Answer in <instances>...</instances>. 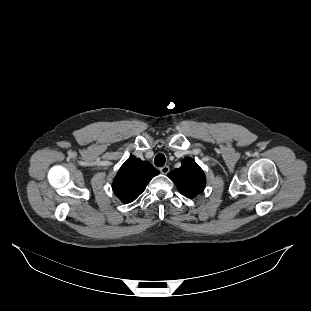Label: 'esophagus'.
I'll return each mask as SVG.
<instances>
[{
    "label": "esophagus",
    "instance_id": "1",
    "mask_svg": "<svg viewBox=\"0 0 311 311\" xmlns=\"http://www.w3.org/2000/svg\"><path fill=\"white\" fill-rule=\"evenodd\" d=\"M169 170H170V168L167 165L160 168V171L162 174H167L169 172Z\"/></svg>",
    "mask_w": 311,
    "mask_h": 311
}]
</instances>
